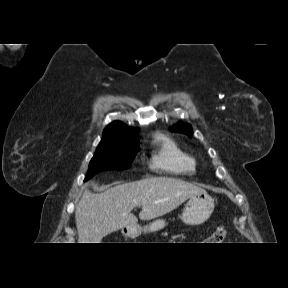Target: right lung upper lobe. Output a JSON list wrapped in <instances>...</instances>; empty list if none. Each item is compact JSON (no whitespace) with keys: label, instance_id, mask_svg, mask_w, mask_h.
I'll use <instances>...</instances> for the list:
<instances>
[{"label":"right lung upper lobe","instance_id":"right-lung-upper-lobe-1","mask_svg":"<svg viewBox=\"0 0 288 288\" xmlns=\"http://www.w3.org/2000/svg\"><path fill=\"white\" fill-rule=\"evenodd\" d=\"M112 138H123L129 141H137V136L134 135V129L128 128L120 121H114L105 128L101 141Z\"/></svg>","mask_w":288,"mask_h":288}]
</instances>
